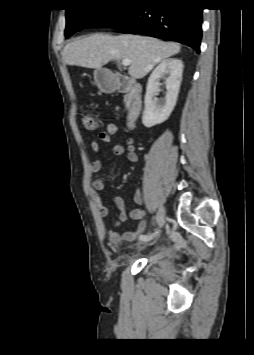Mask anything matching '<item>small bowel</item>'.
I'll use <instances>...</instances> for the list:
<instances>
[{
  "mask_svg": "<svg viewBox=\"0 0 254 355\" xmlns=\"http://www.w3.org/2000/svg\"><path fill=\"white\" fill-rule=\"evenodd\" d=\"M119 130V126L115 123H110L107 125L106 129L99 133V140L104 143H109L113 135H115ZM124 131L128 134L126 143L116 144L112 148V153L115 156H122L126 154L127 158L131 162H136L138 160V156L135 151L134 139L129 135V132L124 129ZM90 147L93 152H99L101 150L100 143L96 140L92 141ZM102 161L95 160L92 162L90 166V170L92 173H98L102 169ZM92 191H93V200L97 207L98 213L102 218H106L109 215L108 207L103 203L101 193H106L107 190L105 188L104 182L101 178H97L92 183ZM109 197L112 203L118 210L117 217L112 221L110 229L107 231L108 238L111 244L119 245L125 242H132L136 239V237L145 231L147 227L146 223V212L143 209L136 208L132 209L129 212L126 210L124 200L115 194H109ZM134 202L137 205H142L143 197L141 192L136 189L134 193ZM127 218H131L137 220V224L135 225L133 230H127L122 233H118L115 229L123 223Z\"/></svg>",
  "mask_w": 254,
  "mask_h": 355,
  "instance_id": "obj_1",
  "label": "small bowel"
}]
</instances>
